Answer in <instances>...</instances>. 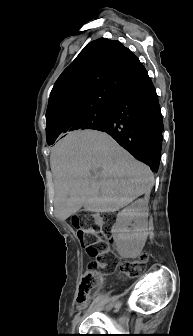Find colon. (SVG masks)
Returning <instances> with one entry per match:
<instances>
[{
    "label": "colon",
    "instance_id": "1",
    "mask_svg": "<svg viewBox=\"0 0 193 336\" xmlns=\"http://www.w3.org/2000/svg\"><path fill=\"white\" fill-rule=\"evenodd\" d=\"M113 221L114 219L108 214L93 212H82L72 217V226L77 232L78 240L91 257L101 261L111 258ZM148 259V254L142 253L136 259L124 262L121 265V272L129 278H136L144 271ZM101 282L102 277L97 270V265L90 264L81 281L77 296L78 304L83 305Z\"/></svg>",
    "mask_w": 193,
    "mask_h": 336
}]
</instances>
